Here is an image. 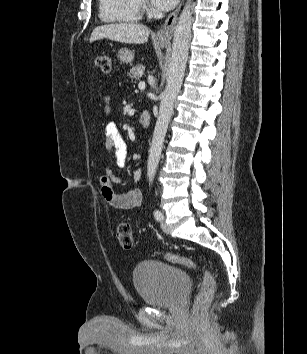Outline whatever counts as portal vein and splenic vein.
Masks as SVG:
<instances>
[{
	"instance_id": "obj_1",
	"label": "portal vein and splenic vein",
	"mask_w": 307,
	"mask_h": 354,
	"mask_svg": "<svg viewBox=\"0 0 307 354\" xmlns=\"http://www.w3.org/2000/svg\"><path fill=\"white\" fill-rule=\"evenodd\" d=\"M145 87H146V85H145L144 81L139 82V84H138L139 89H145Z\"/></svg>"
}]
</instances>
